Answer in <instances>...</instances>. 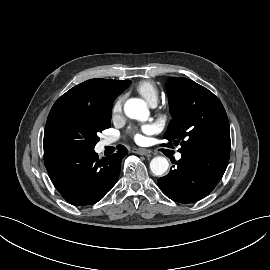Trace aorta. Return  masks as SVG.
<instances>
[{
  "label": "aorta",
  "instance_id": "aorta-1",
  "mask_svg": "<svg viewBox=\"0 0 270 270\" xmlns=\"http://www.w3.org/2000/svg\"><path fill=\"white\" fill-rule=\"evenodd\" d=\"M126 116L140 121L147 120L149 110L146 103L138 98H132L126 101L124 105ZM169 167V162L162 156L154 157L150 162V169L155 176H162Z\"/></svg>",
  "mask_w": 270,
  "mask_h": 270
}]
</instances>
